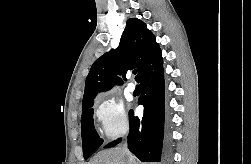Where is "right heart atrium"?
I'll list each match as a JSON object with an SVG mask.
<instances>
[{"label": "right heart atrium", "instance_id": "d8ad5b80", "mask_svg": "<svg viewBox=\"0 0 251 164\" xmlns=\"http://www.w3.org/2000/svg\"><path fill=\"white\" fill-rule=\"evenodd\" d=\"M100 131L105 139L112 141L125 134L129 119L124 105L114 97L104 98L95 109Z\"/></svg>", "mask_w": 251, "mask_h": 164}]
</instances>
